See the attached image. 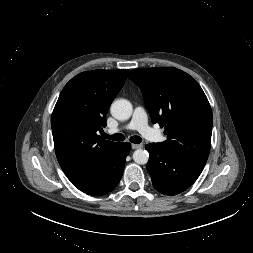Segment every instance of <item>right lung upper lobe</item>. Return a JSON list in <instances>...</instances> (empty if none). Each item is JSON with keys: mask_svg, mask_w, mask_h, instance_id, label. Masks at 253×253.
<instances>
[{"mask_svg": "<svg viewBox=\"0 0 253 253\" xmlns=\"http://www.w3.org/2000/svg\"><path fill=\"white\" fill-rule=\"evenodd\" d=\"M128 69L78 74L63 88L51 118L57 160L79 187L89 182L117 144L101 139L107 111L123 87Z\"/></svg>", "mask_w": 253, "mask_h": 253, "instance_id": "right-lung-upper-lobe-1", "label": "right lung upper lobe"}]
</instances>
